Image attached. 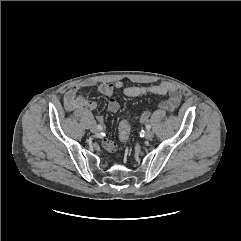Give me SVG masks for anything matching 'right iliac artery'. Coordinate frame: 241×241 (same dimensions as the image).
Returning <instances> with one entry per match:
<instances>
[{"label":"right iliac artery","instance_id":"1","mask_svg":"<svg viewBox=\"0 0 241 241\" xmlns=\"http://www.w3.org/2000/svg\"><path fill=\"white\" fill-rule=\"evenodd\" d=\"M97 127H98L99 130L103 129L102 125H100V124H98Z\"/></svg>","mask_w":241,"mask_h":241}]
</instances>
